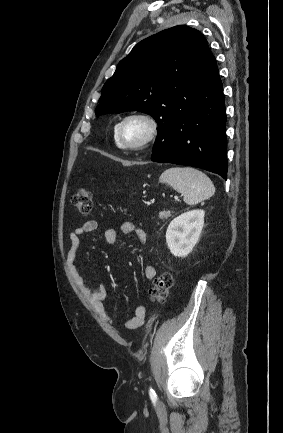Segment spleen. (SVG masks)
Returning a JSON list of instances; mask_svg holds the SVG:
<instances>
[{
	"label": "spleen",
	"mask_w": 283,
	"mask_h": 433,
	"mask_svg": "<svg viewBox=\"0 0 283 433\" xmlns=\"http://www.w3.org/2000/svg\"><path fill=\"white\" fill-rule=\"evenodd\" d=\"M159 182H166L177 192H182L184 202L187 204H198L205 198H210L215 194V186L201 170L184 166V168H167L159 176Z\"/></svg>",
	"instance_id": "obj_1"
}]
</instances>
